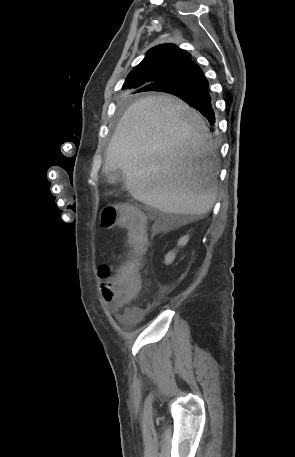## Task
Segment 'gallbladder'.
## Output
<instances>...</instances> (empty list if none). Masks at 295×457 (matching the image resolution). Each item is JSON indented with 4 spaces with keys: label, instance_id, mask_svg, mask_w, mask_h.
<instances>
[{
    "label": "gallbladder",
    "instance_id": "obj_1",
    "mask_svg": "<svg viewBox=\"0 0 295 457\" xmlns=\"http://www.w3.org/2000/svg\"><path fill=\"white\" fill-rule=\"evenodd\" d=\"M106 180L109 184H116L125 181V174L121 169L112 171L106 175Z\"/></svg>",
    "mask_w": 295,
    "mask_h": 457
}]
</instances>
